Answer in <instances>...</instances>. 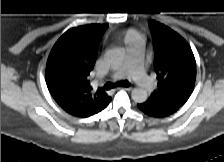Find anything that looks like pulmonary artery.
Segmentation results:
<instances>
[{"mask_svg": "<svg viewBox=\"0 0 224 162\" xmlns=\"http://www.w3.org/2000/svg\"><path fill=\"white\" fill-rule=\"evenodd\" d=\"M124 78L132 79L138 86L144 89H152L154 87L153 79L146 74L144 69L143 41L141 38L128 43L127 58L124 61V65L120 69L111 71L109 74V79L113 81Z\"/></svg>", "mask_w": 224, "mask_h": 162, "instance_id": "pulmonary-artery-1", "label": "pulmonary artery"}]
</instances>
